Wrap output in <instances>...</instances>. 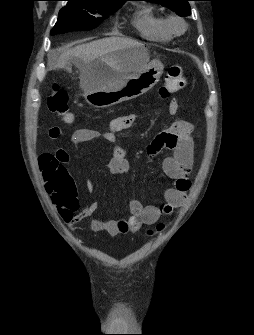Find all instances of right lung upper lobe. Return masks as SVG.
<instances>
[{
    "mask_svg": "<svg viewBox=\"0 0 254 335\" xmlns=\"http://www.w3.org/2000/svg\"><path fill=\"white\" fill-rule=\"evenodd\" d=\"M93 2H101V3H114V4H124L127 0H87Z\"/></svg>",
    "mask_w": 254,
    "mask_h": 335,
    "instance_id": "right-lung-upper-lobe-1",
    "label": "right lung upper lobe"
}]
</instances>
